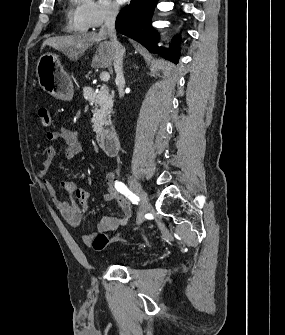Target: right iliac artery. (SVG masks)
<instances>
[{
	"label": "right iliac artery",
	"instance_id": "right-iliac-artery-1",
	"mask_svg": "<svg viewBox=\"0 0 285 335\" xmlns=\"http://www.w3.org/2000/svg\"><path fill=\"white\" fill-rule=\"evenodd\" d=\"M115 188L118 192L125 195L133 204H138V197L135 194H133L125 184L116 181Z\"/></svg>",
	"mask_w": 285,
	"mask_h": 335
}]
</instances>
